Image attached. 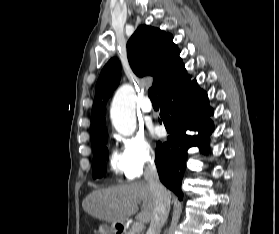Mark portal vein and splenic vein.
<instances>
[{"label": "portal vein and splenic vein", "mask_w": 279, "mask_h": 234, "mask_svg": "<svg viewBox=\"0 0 279 234\" xmlns=\"http://www.w3.org/2000/svg\"><path fill=\"white\" fill-rule=\"evenodd\" d=\"M143 227H144V224L141 221L135 222L132 225V229L134 232H140L143 229Z\"/></svg>", "instance_id": "obj_1"}]
</instances>
